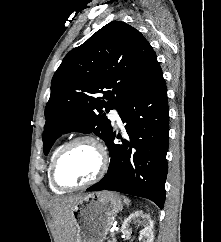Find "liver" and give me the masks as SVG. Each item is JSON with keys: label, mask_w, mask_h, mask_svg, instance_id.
<instances>
[{"label": "liver", "mask_w": 221, "mask_h": 242, "mask_svg": "<svg viewBox=\"0 0 221 242\" xmlns=\"http://www.w3.org/2000/svg\"><path fill=\"white\" fill-rule=\"evenodd\" d=\"M83 197V195L62 197L51 202V211L58 236L57 242H76L77 231L72 208Z\"/></svg>", "instance_id": "liver-1"}]
</instances>
